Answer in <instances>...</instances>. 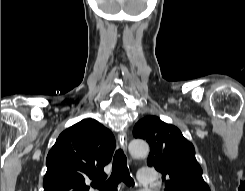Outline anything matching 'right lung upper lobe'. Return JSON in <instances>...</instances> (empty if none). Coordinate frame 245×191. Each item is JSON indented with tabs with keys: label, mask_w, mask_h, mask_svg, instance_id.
Listing matches in <instances>:
<instances>
[{
	"label": "right lung upper lobe",
	"mask_w": 245,
	"mask_h": 191,
	"mask_svg": "<svg viewBox=\"0 0 245 191\" xmlns=\"http://www.w3.org/2000/svg\"><path fill=\"white\" fill-rule=\"evenodd\" d=\"M115 145L111 131L93 119L66 129L47 155L44 191H88L89 181L106 178Z\"/></svg>",
	"instance_id": "right-lung-upper-lobe-1"
}]
</instances>
